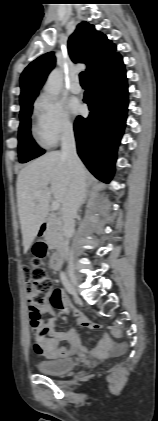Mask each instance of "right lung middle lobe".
<instances>
[{
  "label": "right lung middle lobe",
  "mask_w": 158,
  "mask_h": 421,
  "mask_svg": "<svg viewBox=\"0 0 158 421\" xmlns=\"http://www.w3.org/2000/svg\"><path fill=\"white\" fill-rule=\"evenodd\" d=\"M33 101L21 105L20 126L18 135V153L19 161L25 163L44 153L33 140L30 132V116L32 113Z\"/></svg>",
  "instance_id": "right-lung-middle-lobe-1"
}]
</instances>
